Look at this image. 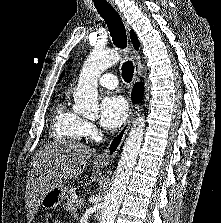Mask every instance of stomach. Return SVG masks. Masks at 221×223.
<instances>
[{
	"label": "stomach",
	"mask_w": 221,
	"mask_h": 223,
	"mask_svg": "<svg viewBox=\"0 0 221 223\" xmlns=\"http://www.w3.org/2000/svg\"><path fill=\"white\" fill-rule=\"evenodd\" d=\"M68 192L64 184L53 186L41 199L40 205L45 209H53L61 204Z\"/></svg>",
	"instance_id": "obj_1"
}]
</instances>
